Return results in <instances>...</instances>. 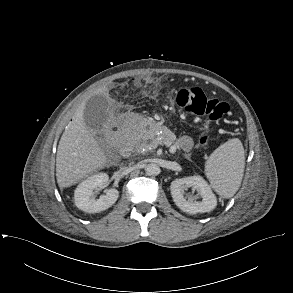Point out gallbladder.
<instances>
[{
	"label": "gallbladder",
	"mask_w": 293,
	"mask_h": 293,
	"mask_svg": "<svg viewBox=\"0 0 293 293\" xmlns=\"http://www.w3.org/2000/svg\"><path fill=\"white\" fill-rule=\"evenodd\" d=\"M84 122L86 126L98 133L104 130L109 119V100L104 95L90 97L84 107Z\"/></svg>",
	"instance_id": "1"
}]
</instances>
